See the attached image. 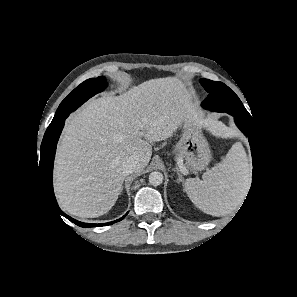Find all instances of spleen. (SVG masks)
<instances>
[{
  "label": "spleen",
  "mask_w": 297,
  "mask_h": 297,
  "mask_svg": "<svg viewBox=\"0 0 297 297\" xmlns=\"http://www.w3.org/2000/svg\"><path fill=\"white\" fill-rule=\"evenodd\" d=\"M249 184L248 158L242 144L236 142L218 165L203 174L202 180L187 179L185 191L203 212L222 216L240 206Z\"/></svg>",
  "instance_id": "1"
}]
</instances>
